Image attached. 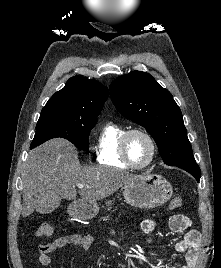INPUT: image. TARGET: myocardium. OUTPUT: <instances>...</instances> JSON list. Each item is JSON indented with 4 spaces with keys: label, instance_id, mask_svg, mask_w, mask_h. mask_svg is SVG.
I'll use <instances>...</instances> for the list:
<instances>
[{
    "label": "myocardium",
    "instance_id": "1",
    "mask_svg": "<svg viewBox=\"0 0 221 268\" xmlns=\"http://www.w3.org/2000/svg\"><path fill=\"white\" fill-rule=\"evenodd\" d=\"M142 134L143 136H145L150 145H151V154L150 157L148 159V161L142 165H136L134 164L128 155V151H127V144H128V140L129 138L133 135V134ZM157 153V145L155 142L154 137L145 129L142 128H133V129H129L127 130L121 137L120 140V155L122 160L124 161V163L132 169H136V170H140V169H144L146 167H148L149 165H151V163L154 161L155 156Z\"/></svg>",
    "mask_w": 221,
    "mask_h": 268
}]
</instances>
